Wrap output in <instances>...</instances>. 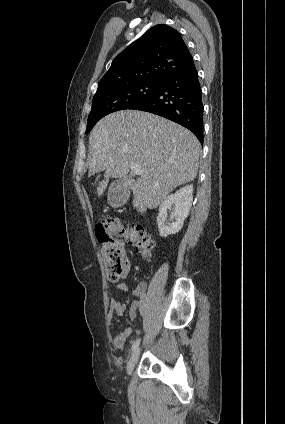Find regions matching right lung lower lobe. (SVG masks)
Returning <instances> with one entry per match:
<instances>
[{
	"label": "right lung lower lobe",
	"mask_w": 285,
	"mask_h": 424,
	"mask_svg": "<svg viewBox=\"0 0 285 424\" xmlns=\"http://www.w3.org/2000/svg\"><path fill=\"white\" fill-rule=\"evenodd\" d=\"M130 109L147 111L172 120L194 133L203 144V103L198 73L192 61L163 81L160 89Z\"/></svg>",
	"instance_id": "98d812e1"
}]
</instances>
